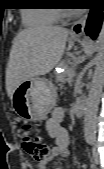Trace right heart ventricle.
Listing matches in <instances>:
<instances>
[{
  "label": "right heart ventricle",
  "instance_id": "e07e8e85",
  "mask_svg": "<svg viewBox=\"0 0 104 169\" xmlns=\"http://www.w3.org/2000/svg\"><path fill=\"white\" fill-rule=\"evenodd\" d=\"M22 16L28 25H51L60 19L58 9H29Z\"/></svg>",
  "mask_w": 104,
  "mask_h": 169
}]
</instances>
